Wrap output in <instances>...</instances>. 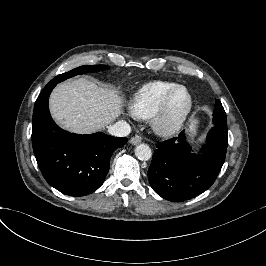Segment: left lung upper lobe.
<instances>
[{"label": "left lung upper lobe", "mask_w": 266, "mask_h": 266, "mask_svg": "<svg viewBox=\"0 0 266 266\" xmlns=\"http://www.w3.org/2000/svg\"><path fill=\"white\" fill-rule=\"evenodd\" d=\"M214 125H224L227 126V121H226V113L224 111V108L219 100L216 101L215 104V110H214Z\"/></svg>", "instance_id": "5c2ea615"}]
</instances>
